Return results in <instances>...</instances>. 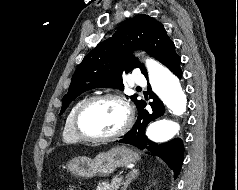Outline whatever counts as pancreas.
Masks as SVG:
<instances>
[{"mask_svg":"<svg viewBox=\"0 0 238 190\" xmlns=\"http://www.w3.org/2000/svg\"><path fill=\"white\" fill-rule=\"evenodd\" d=\"M120 183L118 179H113L111 184H99L96 190H118Z\"/></svg>","mask_w":238,"mask_h":190,"instance_id":"obj_1","label":"pancreas"}]
</instances>
